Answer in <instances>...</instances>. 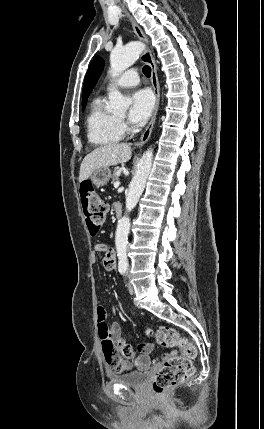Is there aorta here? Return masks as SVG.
Returning a JSON list of instances; mask_svg holds the SVG:
<instances>
[{
  "label": "aorta",
  "mask_w": 264,
  "mask_h": 429,
  "mask_svg": "<svg viewBox=\"0 0 264 429\" xmlns=\"http://www.w3.org/2000/svg\"><path fill=\"white\" fill-rule=\"evenodd\" d=\"M143 49V44L139 41L131 42L124 47L114 48L110 54V72L113 77L119 75L139 58ZM131 103V100L124 97L119 91L115 90L109 93L108 110L111 112L125 111ZM153 160V150L148 149L137 164L135 174L130 182L129 191L126 197V212L119 221L115 234V245L118 256V268L127 269V244L130 230V218L128 213L131 212L144 188L149 176Z\"/></svg>",
  "instance_id": "1"
}]
</instances>
